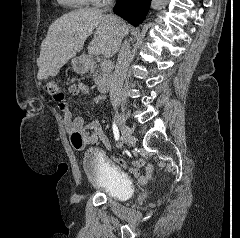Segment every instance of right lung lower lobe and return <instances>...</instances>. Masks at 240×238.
<instances>
[{
  "label": "right lung lower lobe",
  "instance_id": "right-lung-lower-lobe-1",
  "mask_svg": "<svg viewBox=\"0 0 240 238\" xmlns=\"http://www.w3.org/2000/svg\"><path fill=\"white\" fill-rule=\"evenodd\" d=\"M151 0H117L113 11L132 25H139L145 19Z\"/></svg>",
  "mask_w": 240,
  "mask_h": 238
}]
</instances>
